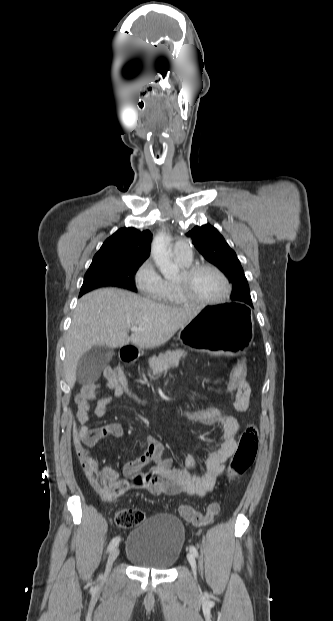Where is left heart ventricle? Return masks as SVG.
Returning <instances> with one entry per match:
<instances>
[{
    "label": "left heart ventricle",
    "mask_w": 333,
    "mask_h": 621,
    "mask_svg": "<svg viewBox=\"0 0 333 621\" xmlns=\"http://www.w3.org/2000/svg\"><path fill=\"white\" fill-rule=\"evenodd\" d=\"M180 278L181 274L177 280ZM190 289L198 299L213 300L222 296L225 291V284L215 272L202 270L192 278Z\"/></svg>",
    "instance_id": "left-heart-ventricle-1"
}]
</instances>
